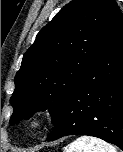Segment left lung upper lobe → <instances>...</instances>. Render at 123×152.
<instances>
[{"mask_svg": "<svg viewBox=\"0 0 123 152\" xmlns=\"http://www.w3.org/2000/svg\"><path fill=\"white\" fill-rule=\"evenodd\" d=\"M121 12L114 0H73L37 34L23 56L10 98L14 125L60 107L114 28Z\"/></svg>", "mask_w": 123, "mask_h": 152, "instance_id": "5c2ea615", "label": "left lung upper lobe"}]
</instances>
